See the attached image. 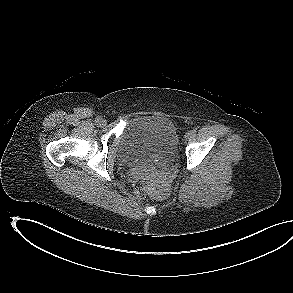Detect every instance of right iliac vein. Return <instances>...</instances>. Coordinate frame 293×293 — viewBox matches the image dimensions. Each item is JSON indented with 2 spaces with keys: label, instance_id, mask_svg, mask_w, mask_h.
Masks as SVG:
<instances>
[{
  "label": "right iliac vein",
  "instance_id": "obj_1",
  "mask_svg": "<svg viewBox=\"0 0 293 293\" xmlns=\"http://www.w3.org/2000/svg\"><path fill=\"white\" fill-rule=\"evenodd\" d=\"M100 124H101V125H106V120L101 119V120H100Z\"/></svg>",
  "mask_w": 293,
  "mask_h": 293
}]
</instances>
